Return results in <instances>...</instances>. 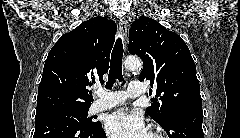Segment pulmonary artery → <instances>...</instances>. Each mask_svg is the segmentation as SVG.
Wrapping results in <instances>:
<instances>
[{
  "instance_id": "1",
  "label": "pulmonary artery",
  "mask_w": 240,
  "mask_h": 138,
  "mask_svg": "<svg viewBox=\"0 0 240 138\" xmlns=\"http://www.w3.org/2000/svg\"><path fill=\"white\" fill-rule=\"evenodd\" d=\"M144 94V84L139 81L130 82L127 92L97 90L98 100L93 102L91 109L93 112H100L122 104L127 97H141Z\"/></svg>"
}]
</instances>
